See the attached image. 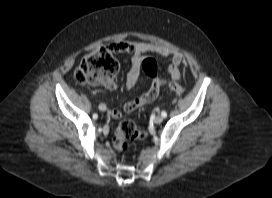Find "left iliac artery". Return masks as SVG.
<instances>
[{"instance_id": "obj_1", "label": "left iliac artery", "mask_w": 272, "mask_h": 198, "mask_svg": "<svg viewBox=\"0 0 272 198\" xmlns=\"http://www.w3.org/2000/svg\"><path fill=\"white\" fill-rule=\"evenodd\" d=\"M161 115H162L163 118H165L167 116V113L165 111H162Z\"/></svg>"}]
</instances>
